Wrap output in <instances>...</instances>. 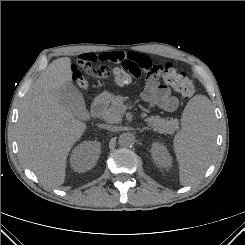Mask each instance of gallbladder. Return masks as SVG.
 Segmentation results:
<instances>
[{
    "label": "gallbladder",
    "instance_id": "1",
    "mask_svg": "<svg viewBox=\"0 0 245 245\" xmlns=\"http://www.w3.org/2000/svg\"><path fill=\"white\" fill-rule=\"evenodd\" d=\"M58 103L78 118L86 117L87 111L83 95L73 84H68L58 92Z\"/></svg>",
    "mask_w": 245,
    "mask_h": 245
}]
</instances>
